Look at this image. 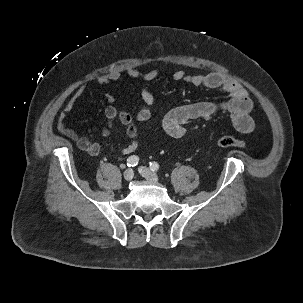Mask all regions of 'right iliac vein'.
Here are the masks:
<instances>
[{"instance_id":"obj_1","label":"right iliac vein","mask_w":303,"mask_h":303,"mask_svg":"<svg viewBox=\"0 0 303 303\" xmlns=\"http://www.w3.org/2000/svg\"><path fill=\"white\" fill-rule=\"evenodd\" d=\"M123 177L126 181H131L134 177V172L132 169H127L124 171Z\"/></svg>"}]
</instances>
